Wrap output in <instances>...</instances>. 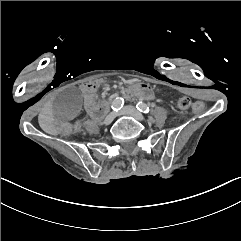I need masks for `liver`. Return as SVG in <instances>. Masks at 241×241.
<instances>
[{"label": "liver", "instance_id": "liver-1", "mask_svg": "<svg viewBox=\"0 0 241 241\" xmlns=\"http://www.w3.org/2000/svg\"><path fill=\"white\" fill-rule=\"evenodd\" d=\"M39 125L46 132L51 135H57V131L53 125L52 113L47 111L39 115Z\"/></svg>", "mask_w": 241, "mask_h": 241}]
</instances>
